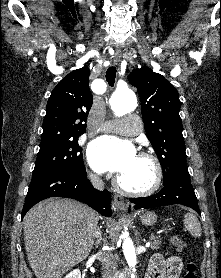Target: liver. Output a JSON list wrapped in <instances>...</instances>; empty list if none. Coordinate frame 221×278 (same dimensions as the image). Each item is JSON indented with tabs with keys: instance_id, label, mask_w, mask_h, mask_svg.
Returning a JSON list of instances; mask_svg holds the SVG:
<instances>
[{
	"instance_id": "6515ba94",
	"label": "liver",
	"mask_w": 221,
	"mask_h": 278,
	"mask_svg": "<svg viewBox=\"0 0 221 278\" xmlns=\"http://www.w3.org/2000/svg\"><path fill=\"white\" fill-rule=\"evenodd\" d=\"M98 215L71 199L51 198L24 218V242L36 278H61L90 254Z\"/></svg>"
}]
</instances>
